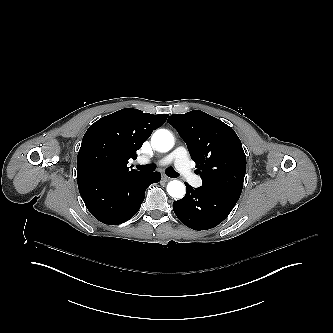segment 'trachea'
<instances>
[{
	"mask_svg": "<svg viewBox=\"0 0 333 333\" xmlns=\"http://www.w3.org/2000/svg\"><path fill=\"white\" fill-rule=\"evenodd\" d=\"M137 168L140 170V171H143V172H153L154 171V166L153 165H140V166H137ZM166 175L171 177V178H177L180 176V174L178 172H176L173 168L169 167L166 169L165 171Z\"/></svg>",
	"mask_w": 333,
	"mask_h": 333,
	"instance_id": "obj_1",
	"label": "trachea"
}]
</instances>
